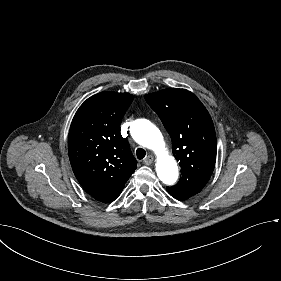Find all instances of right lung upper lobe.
Segmentation results:
<instances>
[{"mask_svg": "<svg viewBox=\"0 0 281 281\" xmlns=\"http://www.w3.org/2000/svg\"><path fill=\"white\" fill-rule=\"evenodd\" d=\"M133 100L128 93L102 92L87 99L76 112L68 136L73 172L93 198L106 202L137 168L121 120Z\"/></svg>", "mask_w": 281, "mask_h": 281, "instance_id": "obj_1", "label": "right lung upper lobe"}]
</instances>
